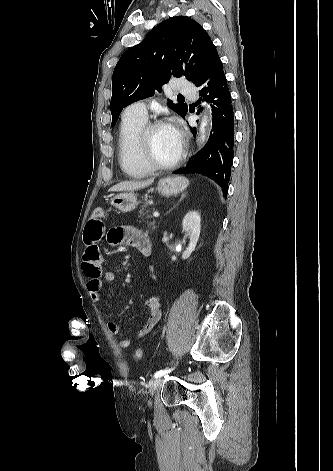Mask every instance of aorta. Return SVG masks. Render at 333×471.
Instances as JSON below:
<instances>
[{"label": "aorta", "instance_id": "aorta-1", "mask_svg": "<svg viewBox=\"0 0 333 471\" xmlns=\"http://www.w3.org/2000/svg\"><path fill=\"white\" fill-rule=\"evenodd\" d=\"M207 126V118L204 117L201 122V127H200V133H201V139L204 140L205 138V127Z\"/></svg>", "mask_w": 333, "mask_h": 471}]
</instances>
